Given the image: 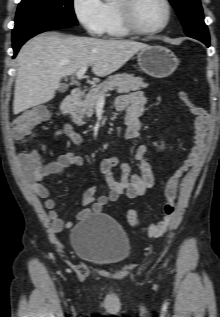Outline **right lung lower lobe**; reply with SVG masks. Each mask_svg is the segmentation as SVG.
Segmentation results:
<instances>
[{"label": "right lung lower lobe", "mask_w": 220, "mask_h": 317, "mask_svg": "<svg viewBox=\"0 0 220 317\" xmlns=\"http://www.w3.org/2000/svg\"><path fill=\"white\" fill-rule=\"evenodd\" d=\"M72 25L61 23V22H47V23H41L37 25H33L31 27L26 28L25 30L21 31L17 35H13L12 42H13V49H14V56H16L18 50L20 47L31 37L44 32L48 30H54V29H62V28H68Z\"/></svg>", "instance_id": "98d812e1"}]
</instances>
